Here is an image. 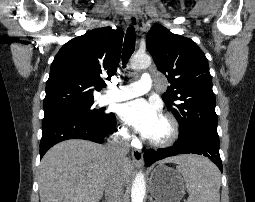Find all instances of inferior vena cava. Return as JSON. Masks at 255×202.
<instances>
[{"instance_id": "1", "label": "inferior vena cava", "mask_w": 255, "mask_h": 202, "mask_svg": "<svg viewBox=\"0 0 255 202\" xmlns=\"http://www.w3.org/2000/svg\"><path fill=\"white\" fill-rule=\"evenodd\" d=\"M107 149L117 163L105 187L106 202H121L124 182L120 171V165L127 161L126 155L129 152V143L126 131H122L113 136L107 144Z\"/></svg>"}]
</instances>
